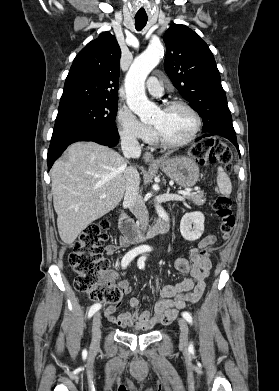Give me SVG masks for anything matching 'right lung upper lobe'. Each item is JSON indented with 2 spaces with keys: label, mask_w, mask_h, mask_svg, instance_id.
<instances>
[{
  "label": "right lung upper lobe",
  "mask_w": 279,
  "mask_h": 391,
  "mask_svg": "<svg viewBox=\"0 0 279 391\" xmlns=\"http://www.w3.org/2000/svg\"><path fill=\"white\" fill-rule=\"evenodd\" d=\"M121 50L114 35L103 32L75 57L59 109L98 101H118Z\"/></svg>",
  "instance_id": "cb5924a9"
}]
</instances>
